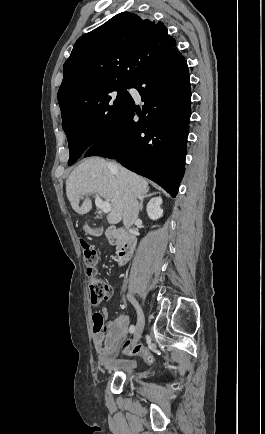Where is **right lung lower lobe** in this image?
Wrapping results in <instances>:
<instances>
[{"mask_svg": "<svg viewBox=\"0 0 265 434\" xmlns=\"http://www.w3.org/2000/svg\"><path fill=\"white\" fill-rule=\"evenodd\" d=\"M144 101L91 145L84 157L116 159L175 197L184 174L191 115L187 62L177 46L153 62L133 83ZM139 116V120L134 118Z\"/></svg>", "mask_w": 265, "mask_h": 434, "instance_id": "obj_1", "label": "right lung lower lobe"}]
</instances>
